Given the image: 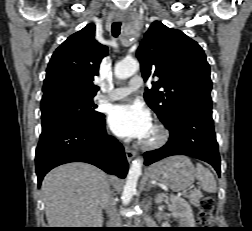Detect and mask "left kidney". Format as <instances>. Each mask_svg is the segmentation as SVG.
Returning a JSON list of instances; mask_svg holds the SVG:
<instances>
[{
    "mask_svg": "<svg viewBox=\"0 0 252 231\" xmlns=\"http://www.w3.org/2000/svg\"><path fill=\"white\" fill-rule=\"evenodd\" d=\"M166 194H158L155 198L156 203H161ZM173 214L179 219L180 228H194L195 221L191 206L183 198L170 196Z\"/></svg>",
    "mask_w": 252,
    "mask_h": 231,
    "instance_id": "1",
    "label": "left kidney"
}]
</instances>
